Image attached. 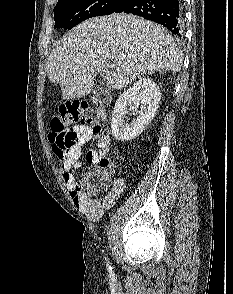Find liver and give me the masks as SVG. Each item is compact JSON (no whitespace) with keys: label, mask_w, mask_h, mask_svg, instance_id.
<instances>
[{"label":"liver","mask_w":233,"mask_h":294,"mask_svg":"<svg viewBox=\"0 0 233 294\" xmlns=\"http://www.w3.org/2000/svg\"><path fill=\"white\" fill-rule=\"evenodd\" d=\"M182 55L167 30L133 15L112 14L86 20L52 50L46 69L64 100L81 98L101 73L112 89H123L146 72H177ZM107 63L115 64L109 71Z\"/></svg>","instance_id":"liver-1"}]
</instances>
